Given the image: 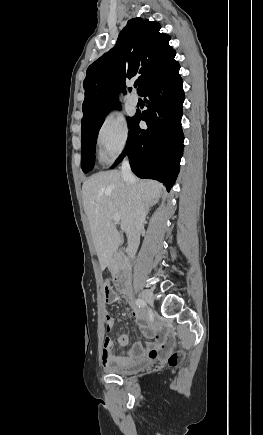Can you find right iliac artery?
Returning a JSON list of instances; mask_svg holds the SVG:
<instances>
[{
    "label": "right iliac artery",
    "instance_id": "obj_1",
    "mask_svg": "<svg viewBox=\"0 0 263 435\" xmlns=\"http://www.w3.org/2000/svg\"><path fill=\"white\" fill-rule=\"evenodd\" d=\"M136 305L139 306V307H144L146 305V302L143 299L138 298L136 300Z\"/></svg>",
    "mask_w": 263,
    "mask_h": 435
}]
</instances>
